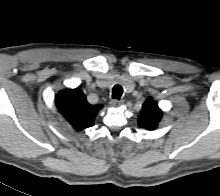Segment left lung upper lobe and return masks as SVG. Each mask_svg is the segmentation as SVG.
Listing matches in <instances>:
<instances>
[{"instance_id":"obj_1","label":"left lung upper lobe","mask_w":220,"mask_h":196,"mask_svg":"<svg viewBox=\"0 0 220 196\" xmlns=\"http://www.w3.org/2000/svg\"><path fill=\"white\" fill-rule=\"evenodd\" d=\"M162 117V111L158 104L152 99H147L142 107V111L138 118V125L141 128L154 130Z\"/></svg>"}]
</instances>
